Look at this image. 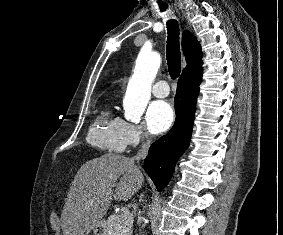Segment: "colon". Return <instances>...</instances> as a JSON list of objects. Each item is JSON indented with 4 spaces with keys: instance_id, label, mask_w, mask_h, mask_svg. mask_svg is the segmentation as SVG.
<instances>
[{
    "instance_id": "obj_1",
    "label": "colon",
    "mask_w": 283,
    "mask_h": 235,
    "mask_svg": "<svg viewBox=\"0 0 283 235\" xmlns=\"http://www.w3.org/2000/svg\"><path fill=\"white\" fill-rule=\"evenodd\" d=\"M51 218H52L53 221H56V220H57V215H56L55 213H53V214L51 215Z\"/></svg>"
}]
</instances>
